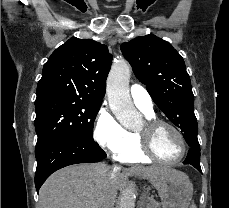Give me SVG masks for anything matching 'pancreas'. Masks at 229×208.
<instances>
[{
  "instance_id": "cf45deb5",
  "label": "pancreas",
  "mask_w": 229,
  "mask_h": 208,
  "mask_svg": "<svg viewBox=\"0 0 229 208\" xmlns=\"http://www.w3.org/2000/svg\"><path fill=\"white\" fill-rule=\"evenodd\" d=\"M145 202H146L145 208H160L159 202H156L154 198H147Z\"/></svg>"
}]
</instances>
